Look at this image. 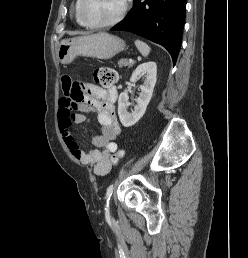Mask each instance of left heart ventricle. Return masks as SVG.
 Masks as SVG:
<instances>
[{
  "mask_svg": "<svg viewBox=\"0 0 248 258\" xmlns=\"http://www.w3.org/2000/svg\"><path fill=\"white\" fill-rule=\"evenodd\" d=\"M121 6L122 0H84L83 11L89 21L101 23L114 18Z\"/></svg>",
  "mask_w": 248,
  "mask_h": 258,
  "instance_id": "left-heart-ventricle-1",
  "label": "left heart ventricle"
}]
</instances>
